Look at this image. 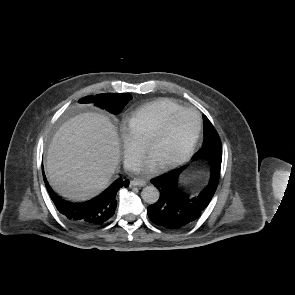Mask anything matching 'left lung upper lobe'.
I'll return each instance as SVG.
<instances>
[{"label":"left lung upper lobe","mask_w":295,"mask_h":295,"mask_svg":"<svg viewBox=\"0 0 295 295\" xmlns=\"http://www.w3.org/2000/svg\"><path fill=\"white\" fill-rule=\"evenodd\" d=\"M204 122V142L203 148L198 152L195 158L202 157L211 152H217L222 154L221 140L216 132L215 128L208 120V118L203 116Z\"/></svg>","instance_id":"1"}]
</instances>
